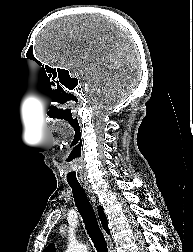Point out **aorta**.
<instances>
[{"instance_id":"762f6f07","label":"aorta","mask_w":193,"mask_h":252,"mask_svg":"<svg viewBox=\"0 0 193 252\" xmlns=\"http://www.w3.org/2000/svg\"><path fill=\"white\" fill-rule=\"evenodd\" d=\"M66 252H88V248L86 245L76 240H71L67 246Z\"/></svg>"}]
</instances>
